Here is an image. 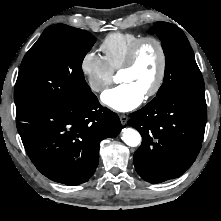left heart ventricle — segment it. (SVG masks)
<instances>
[{
  "mask_svg": "<svg viewBox=\"0 0 221 221\" xmlns=\"http://www.w3.org/2000/svg\"><path fill=\"white\" fill-rule=\"evenodd\" d=\"M159 64L160 57L156 45L146 43L139 52L136 64L120 73V81L134 84L145 94L157 78Z\"/></svg>",
  "mask_w": 221,
  "mask_h": 221,
  "instance_id": "1",
  "label": "left heart ventricle"
}]
</instances>
